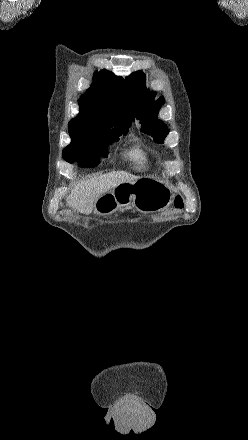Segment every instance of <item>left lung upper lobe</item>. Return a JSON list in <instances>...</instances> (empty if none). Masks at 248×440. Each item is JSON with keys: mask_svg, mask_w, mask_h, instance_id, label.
I'll use <instances>...</instances> for the list:
<instances>
[{"mask_svg": "<svg viewBox=\"0 0 248 440\" xmlns=\"http://www.w3.org/2000/svg\"><path fill=\"white\" fill-rule=\"evenodd\" d=\"M134 118L142 123L141 132L149 134L154 141L162 144L169 130L163 121L157 119L158 111L165 100L155 101L156 93L146 89V77L143 72H135L126 78Z\"/></svg>", "mask_w": 248, "mask_h": 440, "instance_id": "left-lung-upper-lobe-1", "label": "left lung upper lobe"}]
</instances>
